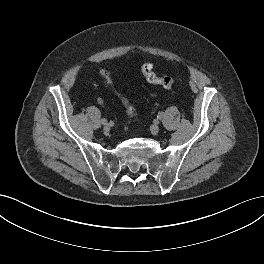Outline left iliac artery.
<instances>
[{
  "label": "left iliac artery",
  "mask_w": 264,
  "mask_h": 264,
  "mask_svg": "<svg viewBox=\"0 0 264 264\" xmlns=\"http://www.w3.org/2000/svg\"><path fill=\"white\" fill-rule=\"evenodd\" d=\"M163 117H164L163 112L158 113V116H157L158 119H163Z\"/></svg>",
  "instance_id": "44dca946"
}]
</instances>
